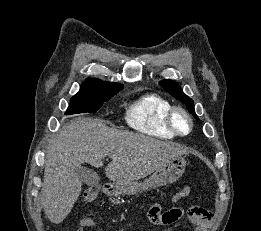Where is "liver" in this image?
Instances as JSON below:
<instances>
[{"mask_svg": "<svg viewBox=\"0 0 261 231\" xmlns=\"http://www.w3.org/2000/svg\"><path fill=\"white\" fill-rule=\"evenodd\" d=\"M176 143L165 142L143 134L109 128L93 118H78L63 126L46 154L42 201L52 223H61L81 193V180L75 169L83 163L105 168L108 179L126 184L144 178L172 159L187 154Z\"/></svg>", "mask_w": 261, "mask_h": 231, "instance_id": "obj_1", "label": "liver"}]
</instances>
